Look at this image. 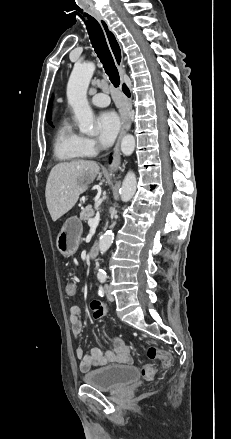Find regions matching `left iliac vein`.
<instances>
[{
	"label": "left iliac vein",
	"instance_id": "1",
	"mask_svg": "<svg viewBox=\"0 0 231 439\" xmlns=\"http://www.w3.org/2000/svg\"><path fill=\"white\" fill-rule=\"evenodd\" d=\"M106 296L109 301H114V296L111 293V287L109 285L105 286Z\"/></svg>",
	"mask_w": 231,
	"mask_h": 439
}]
</instances>
